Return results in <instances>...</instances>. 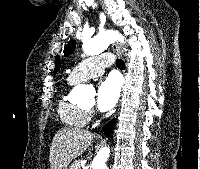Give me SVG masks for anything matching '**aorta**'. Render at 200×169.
<instances>
[{
  "mask_svg": "<svg viewBox=\"0 0 200 169\" xmlns=\"http://www.w3.org/2000/svg\"><path fill=\"white\" fill-rule=\"evenodd\" d=\"M123 37L113 31H105L97 34L95 37H83L82 49L86 55H97L108 48L114 41L123 42ZM73 92L82 98L91 94V90L86 85H77ZM110 155V149L104 147L99 150L92 162V169H108L107 160Z\"/></svg>",
  "mask_w": 200,
  "mask_h": 169,
  "instance_id": "aorta-1",
  "label": "aorta"
}]
</instances>
